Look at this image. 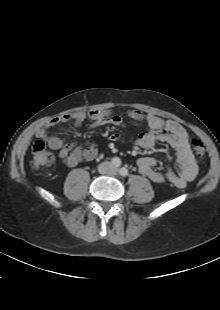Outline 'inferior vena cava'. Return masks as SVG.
<instances>
[{
    "label": "inferior vena cava",
    "instance_id": "1",
    "mask_svg": "<svg viewBox=\"0 0 220 310\" xmlns=\"http://www.w3.org/2000/svg\"><path fill=\"white\" fill-rule=\"evenodd\" d=\"M110 166H111V164H110L109 162H103V163H101L100 166H99V172H100V173H105V172L103 171V168H104V167H110Z\"/></svg>",
    "mask_w": 220,
    "mask_h": 310
}]
</instances>
